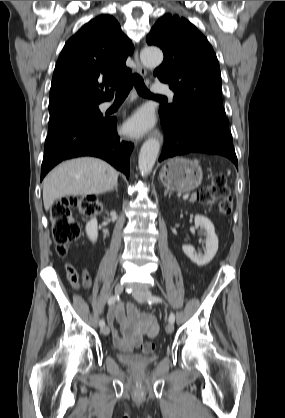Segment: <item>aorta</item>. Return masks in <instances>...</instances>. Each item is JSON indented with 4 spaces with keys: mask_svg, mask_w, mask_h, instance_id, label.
I'll return each instance as SVG.
<instances>
[{
    "mask_svg": "<svg viewBox=\"0 0 285 418\" xmlns=\"http://www.w3.org/2000/svg\"><path fill=\"white\" fill-rule=\"evenodd\" d=\"M141 62L148 67H157L163 61V53L159 48L147 47L140 53ZM160 150L156 139H148L141 147L138 166L142 176H147L153 169Z\"/></svg>",
    "mask_w": 285,
    "mask_h": 418,
    "instance_id": "obj_1",
    "label": "aorta"
}]
</instances>
